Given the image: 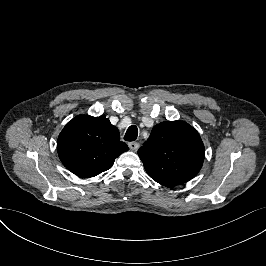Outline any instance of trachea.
Returning <instances> with one entry per match:
<instances>
[{
	"mask_svg": "<svg viewBox=\"0 0 266 266\" xmlns=\"http://www.w3.org/2000/svg\"><path fill=\"white\" fill-rule=\"evenodd\" d=\"M138 135V129L136 126L132 125L128 128L126 131V134L124 136L125 141H135Z\"/></svg>",
	"mask_w": 266,
	"mask_h": 266,
	"instance_id": "trachea-1",
	"label": "trachea"
}]
</instances>
